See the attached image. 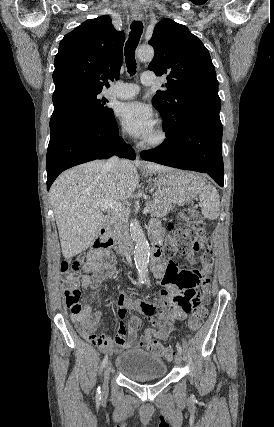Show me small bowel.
Segmentation results:
<instances>
[{
    "label": "small bowel",
    "instance_id": "c3829d8e",
    "mask_svg": "<svg viewBox=\"0 0 274 427\" xmlns=\"http://www.w3.org/2000/svg\"><path fill=\"white\" fill-rule=\"evenodd\" d=\"M160 228V224L156 221L151 222L150 236L154 238L158 235ZM104 248L97 245L88 251L83 266L84 274L81 278L84 288L97 290L103 280L115 273L116 257L111 251ZM200 249V246L193 245L190 251H180V255L188 256L189 263L193 265L197 261L193 255ZM202 254H205V251H202ZM167 267L170 279L165 277ZM215 268L214 261H209L203 269H179L178 264L170 260L160 258L153 260L151 270L154 276L160 280L163 293L168 297L170 304L162 306L160 299H153L152 303L150 299H136L135 302H132L124 294L115 295V310L120 320L117 325V335L114 338L96 332L100 326L101 312H92L91 304L88 301L84 303L80 312L72 313L71 320L86 341L107 354L143 347L144 343L151 339L164 340L171 332H178L175 320H188V311L182 310H193L194 302L199 304V301L205 303L209 300L210 282ZM199 290L200 298L197 294ZM177 298H183L184 301H177ZM131 308H136L137 313H149L150 325L155 329H147L139 338L138 332L142 324L140 317L133 315L129 318L128 326L124 323Z\"/></svg>",
    "mask_w": 274,
    "mask_h": 427
}]
</instances>
